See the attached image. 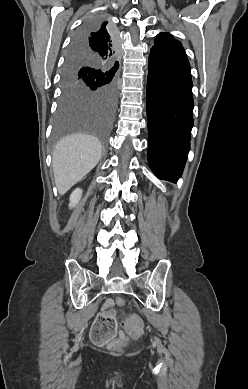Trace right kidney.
<instances>
[{
  "instance_id": "right-kidney-1",
  "label": "right kidney",
  "mask_w": 248,
  "mask_h": 389,
  "mask_svg": "<svg viewBox=\"0 0 248 389\" xmlns=\"http://www.w3.org/2000/svg\"><path fill=\"white\" fill-rule=\"evenodd\" d=\"M81 196H82V190L80 188H76L70 195L69 207L74 208L80 201Z\"/></svg>"
}]
</instances>
